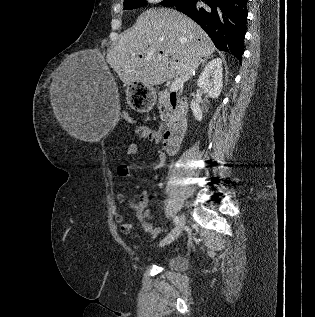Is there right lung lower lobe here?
<instances>
[{"label":"right lung lower lobe","mask_w":315,"mask_h":317,"mask_svg":"<svg viewBox=\"0 0 315 317\" xmlns=\"http://www.w3.org/2000/svg\"><path fill=\"white\" fill-rule=\"evenodd\" d=\"M204 2L200 6V2ZM210 36L215 46L239 61L244 53L247 0H180L174 5Z\"/></svg>","instance_id":"98d812e1"}]
</instances>
